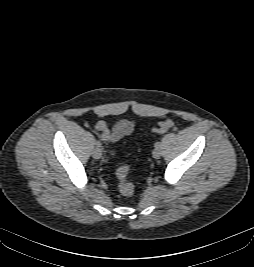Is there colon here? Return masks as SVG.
<instances>
[{
	"instance_id": "5ec220e1",
	"label": "colon",
	"mask_w": 254,
	"mask_h": 267,
	"mask_svg": "<svg viewBox=\"0 0 254 267\" xmlns=\"http://www.w3.org/2000/svg\"><path fill=\"white\" fill-rule=\"evenodd\" d=\"M173 126V121L171 119H167L159 122L155 127H153L152 131L154 133H165ZM129 171L130 168L128 165H121L116 170V175L119 180V191L124 196H132L134 194V185L129 180Z\"/></svg>"
}]
</instances>
